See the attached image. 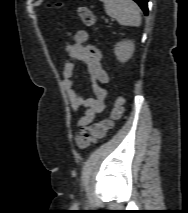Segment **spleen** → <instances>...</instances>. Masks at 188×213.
I'll list each match as a JSON object with an SVG mask.
<instances>
[{
  "mask_svg": "<svg viewBox=\"0 0 188 213\" xmlns=\"http://www.w3.org/2000/svg\"><path fill=\"white\" fill-rule=\"evenodd\" d=\"M104 3L107 15L115 18L121 25H141L140 8L132 0H100Z\"/></svg>",
  "mask_w": 188,
  "mask_h": 213,
  "instance_id": "1",
  "label": "spleen"
}]
</instances>
